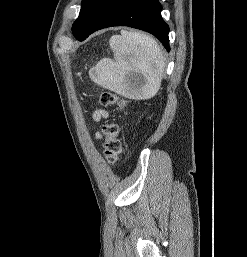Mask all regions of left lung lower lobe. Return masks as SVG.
Returning a JSON list of instances; mask_svg holds the SVG:
<instances>
[{
    "mask_svg": "<svg viewBox=\"0 0 247 257\" xmlns=\"http://www.w3.org/2000/svg\"><path fill=\"white\" fill-rule=\"evenodd\" d=\"M158 0H97L77 40L83 41L96 30L111 26H130L153 34L169 47V27L161 17Z\"/></svg>",
    "mask_w": 247,
    "mask_h": 257,
    "instance_id": "1",
    "label": "left lung lower lobe"
}]
</instances>
